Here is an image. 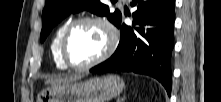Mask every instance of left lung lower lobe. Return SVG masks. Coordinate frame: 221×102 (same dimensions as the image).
Wrapping results in <instances>:
<instances>
[{
	"label": "left lung lower lobe",
	"instance_id": "0a47b994",
	"mask_svg": "<svg viewBox=\"0 0 221 102\" xmlns=\"http://www.w3.org/2000/svg\"><path fill=\"white\" fill-rule=\"evenodd\" d=\"M133 26L121 25L115 53L95 66L93 73L115 70L156 78L171 93V56L174 48L175 0H132Z\"/></svg>",
	"mask_w": 221,
	"mask_h": 102
}]
</instances>
